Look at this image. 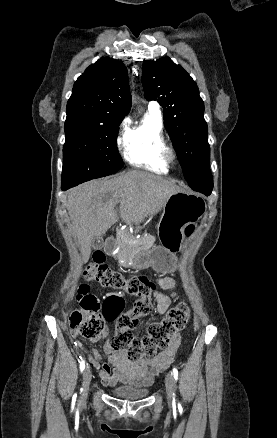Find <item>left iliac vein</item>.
Wrapping results in <instances>:
<instances>
[{"mask_svg":"<svg viewBox=\"0 0 277 438\" xmlns=\"http://www.w3.org/2000/svg\"><path fill=\"white\" fill-rule=\"evenodd\" d=\"M165 387L167 400L169 403H172L174 400V378L172 373H168L165 378Z\"/></svg>","mask_w":277,"mask_h":438,"instance_id":"left-iliac-vein-1","label":"left iliac vein"}]
</instances>
